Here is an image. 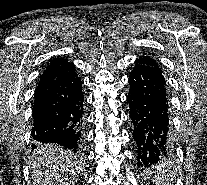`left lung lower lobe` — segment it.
I'll use <instances>...</instances> for the list:
<instances>
[{"instance_id":"0a47b994","label":"left lung lower lobe","mask_w":207,"mask_h":185,"mask_svg":"<svg viewBox=\"0 0 207 185\" xmlns=\"http://www.w3.org/2000/svg\"><path fill=\"white\" fill-rule=\"evenodd\" d=\"M130 118L134 124L138 166L150 167L171 155L166 81L156 68L137 64L130 78Z\"/></svg>"}]
</instances>
